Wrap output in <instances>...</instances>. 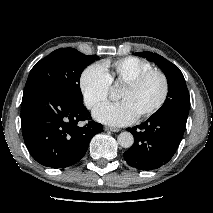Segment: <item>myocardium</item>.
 Segmentation results:
<instances>
[{
    "label": "myocardium",
    "instance_id": "1",
    "mask_svg": "<svg viewBox=\"0 0 213 213\" xmlns=\"http://www.w3.org/2000/svg\"><path fill=\"white\" fill-rule=\"evenodd\" d=\"M153 75L160 77V79L162 81V85H163L162 94H161L160 98L158 99V101L153 106H151L150 108L143 111L142 113H140L137 116V118H139V119L151 116L164 105V103L167 100L168 94H169L168 78L163 71L158 70V69H151V70L138 74L137 76H135L132 79L125 82V84H124V86H126V87L136 88V87L140 86L146 79H148L149 77H151Z\"/></svg>",
    "mask_w": 213,
    "mask_h": 213
}]
</instances>
